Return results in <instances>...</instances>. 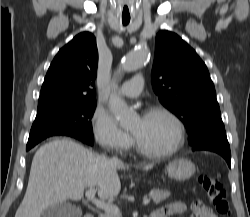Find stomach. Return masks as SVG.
Segmentation results:
<instances>
[{"label":"stomach","mask_w":250,"mask_h":217,"mask_svg":"<svg viewBox=\"0 0 250 217\" xmlns=\"http://www.w3.org/2000/svg\"><path fill=\"white\" fill-rule=\"evenodd\" d=\"M166 170L171 179L185 181L194 175L195 165L188 159H179L170 163Z\"/></svg>","instance_id":"1"}]
</instances>
